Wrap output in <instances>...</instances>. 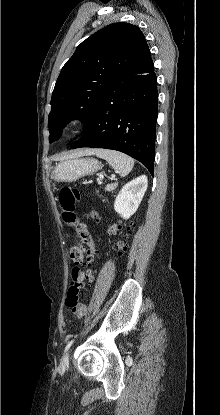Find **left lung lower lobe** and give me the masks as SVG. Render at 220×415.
I'll return each instance as SVG.
<instances>
[{
  "label": "left lung lower lobe",
  "mask_w": 220,
  "mask_h": 415,
  "mask_svg": "<svg viewBox=\"0 0 220 415\" xmlns=\"http://www.w3.org/2000/svg\"><path fill=\"white\" fill-rule=\"evenodd\" d=\"M157 103V78L151 59L143 69L114 81L70 149L117 150L143 163L153 175Z\"/></svg>",
  "instance_id": "1"
}]
</instances>
